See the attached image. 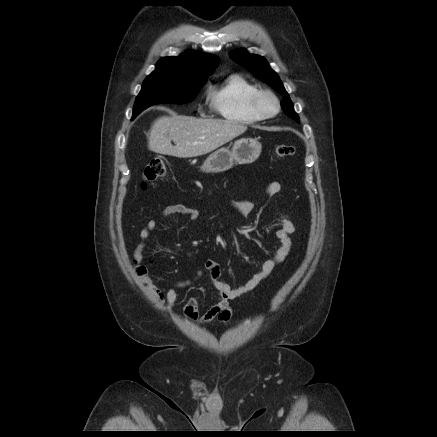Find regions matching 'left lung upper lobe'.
I'll list each match as a JSON object with an SVG mask.
<instances>
[{
  "instance_id": "left-lung-upper-lobe-1",
  "label": "left lung upper lobe",
  "mask_w": 437,
  "mask_h": 437,
  "mask_svg": "<svg viewBox=\"0 0 437 437\" xmlns=\"http://www.w3.org/2000/svg\"><path fill=\"white\" fill-rule=\"evenodd\" d=\"M230 57L241 66L248 69L258 79L272 86L278 93H280L284 97L281 101L283 111L299 123V117L294 111L293 103L281 80L263 57L259 55H249L243 49L232 51Z\"/></svg>"
}]
</instances>
